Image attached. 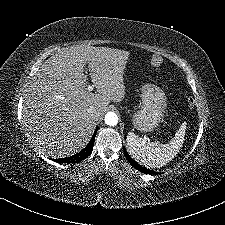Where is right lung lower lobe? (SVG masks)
<instances>
[{"instance_id": "98d812e1", "label": "right lung lower lobe", "mask_w": 225, "mask_h": 225, "mask_svg": "<svg viewBox=\"0 0 225 225\" xmlns=\"http://www.w3.org/2000/svg\"><path fill=\"white\" fill-rule=\"evenodd\" d=\"M95 134H96V131H95L91 141L89 142V144L82 151H80L79 153H77L69 158H64V159H60V160L57 159L56 162L76 163V162H80L83 159H85L92 152L94 140H95Z\"/></svg>"}]
</instances>
